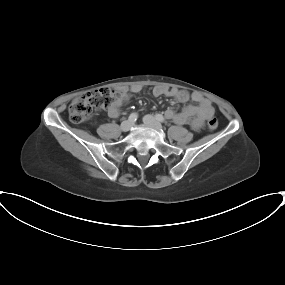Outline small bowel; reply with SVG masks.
<instances>
[{
    "label": "small bowel",
    "instance_id": "c3829d8e",
    "mask_svg": "<svg viewBox=\"0 0 285 285\" xmlns=\"http://www.w3.org/2000/svg\"><path fill=\"white\" fill-rule=\"evenodd\" d=\"M121 98L114 101L108 108V114L111 117H118L120 107L126 103L133 95L139 94L142 91L140 84H134L130 87H121ZM154 96H167L175 101L185 103L191 99L195 104L187 105L180 111L167 109L164 113L165 117L174 121L177 124H190L195 130L200 129L206 120L214 116V108L211 101L199 92L189 93L186 90L177 88H168L166 86H155L153 88Z\"/></svg>",
    "mask_w": 285,
    "mask_h": 285
}]
</instances>
